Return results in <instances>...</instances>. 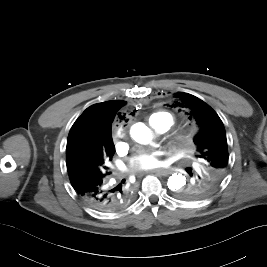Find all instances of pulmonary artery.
I'll list each match as a JSON object with an SVG mask.
<instances>
[{
    "instance_id": "1",
    "label": "pulmonary artery",
    "mask_w": 267,
    "mask_h": 267,
    "mask_svg": "<svg viewBox=\"0 0 267 267\" xmlns=\"http://www.w3.org/2000/svg\"><path fill=\"white\" fill-rule=\"evenodd\" d=\"M169 129V126L166 122H162L157 128L156 131L159 133H164Z\"/></svg>"
}]
</instances>
